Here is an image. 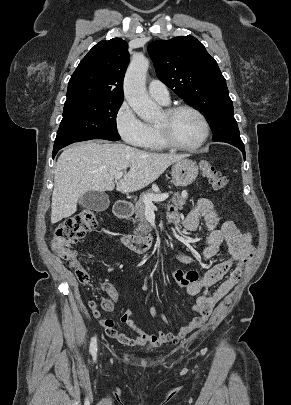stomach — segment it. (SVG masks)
<instances>
[{
	"label": "stomach",
	"instance_id": "stomach-1",
	"mask_svg": "<svg viewBox=\"0 0 291 405\" xmlns=\"http://www.w3.org/2000/svg\"><path fill=\"white\" fill-rule=\"evenodd\" d=\"M171 174L176 185L187 187L197 178L198 167L192 160L184 158L174 163Z\"/></svg>",
	"mask_w": 291,
	"mask_h": 405
}]
</instances>
